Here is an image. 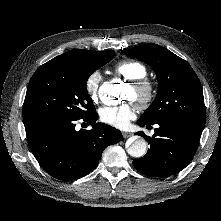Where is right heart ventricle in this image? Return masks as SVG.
I'll list each match as a JSON object with an SVG mask.
<instances>
[{"label": "right heart ventricle", "mask_w": 221, "mask_h": 221, "mask_svg": "<svg viewBox=\"0 0 221 221\" xmlns=\"http://www.w3.org/2000/svg\"><path fill=\"white\" fill-rule=\"evenodd\" d=\"M114 71L117 75L131 81L143 78L147 74L145 65L134 60L118 62L114 67Z\"/></svg>", "instance_id": "e07e8e85"}]
</instances>
